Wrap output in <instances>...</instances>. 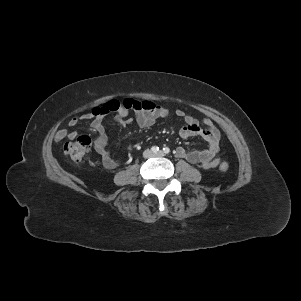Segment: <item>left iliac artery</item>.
I'll return each instance as SVG.
<instances>
[{
  "instance_id": "44dca946",
  "label": "left iliac artery",
  "mask_w": 301,
  "mask_h": 301,
  "mask_svg": "<svg viewBox=\"0 0 301 301\" xmlns=\"http://www.w3.org/2000/svg\"><path fill=\"white\" fill-rule=\"evenodd\" d=\"M163 151H164L165 154H168L170 152V149L168 147H164Z\"/></svg>"
}]
</instances>
